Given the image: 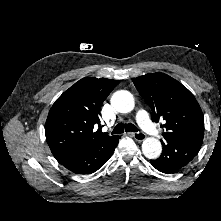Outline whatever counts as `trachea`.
<instances>
[{
	"label": "trachea",
	"instance_id": "3493384b",
	"mask_svg": "<svg viewBox=\"0 0 221 221\" xmlns=\"http://www.w3.org/2000/svg\"><path fill=\"white\" fill-rule=\"evenodd\" d=\"M124 130L127 132H137V128L135 125L131 123H119L113 129L112 134H120L123 133Z\"/></svg>",
	"mask_w": 221,
	"mask_h": 221
}]
</instances>
